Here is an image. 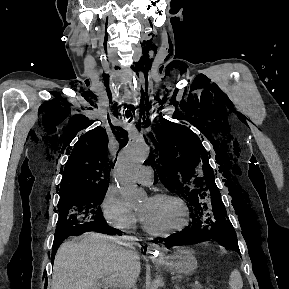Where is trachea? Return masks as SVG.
Returning a JSON list of instances; mask_svg holds the SVG:
<instances>
[{
	"instance_id": "obj_1",
	"label": "trachea",
	"mask_w": 289,
	"mask_h": 289,
	"mask_svg": "<svg viewBox=\"0 0 289 289\" xmlns=\"http://www.w3.org/2000/svg\"><path fill=\"white\" fill-rule=\"evenodd\" d=\"M125 115H126L127 118H130V117H131V119H132L131 111H130V110H127V111L125 112Z\"/></svg>"
}]
</instances>
